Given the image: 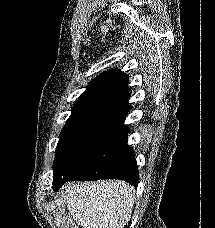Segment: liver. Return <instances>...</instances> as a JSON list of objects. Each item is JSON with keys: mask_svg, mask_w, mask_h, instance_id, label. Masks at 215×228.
Listing matches in <instances>:
<instances>
[{"mask_svg": "<svg viewBox=\"0 0 215 228\" xmlns=\"http://www.w3.org/2000/svg\"><path fill=\"white\" fill-rule=\"evenodd\" d=\"M59 194L82 228H125L130 222L135 190L122 180L71 182Z\"/></svg>", "mask_w": 215, "mask_h": 228, "instance_id": "liver-1", "label": "liver"}]
</instances>
